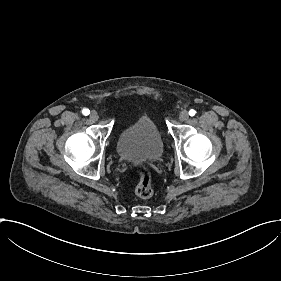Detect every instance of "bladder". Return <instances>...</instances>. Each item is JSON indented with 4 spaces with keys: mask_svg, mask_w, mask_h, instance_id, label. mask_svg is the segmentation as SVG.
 Returning a JSON list of instances; mask_svg holds the SVG:
<instances>
[{
    "mask_svg": "<svg viewBox=\"0 0 281 281\" xmlns=\"http://www.w3.org/2000/svg\"><path fill=\"white\" fill-rule=\"evenodd\" d=\"M117 151L122 159L143 164L157 161L163 153V141L155 123L143 117L119 134Z\"/></svg>",
    "mask_w": 281,
    "mask_h": 281,
    "instance_id": "1",
    "label": "bladder"
}]
</instances>
